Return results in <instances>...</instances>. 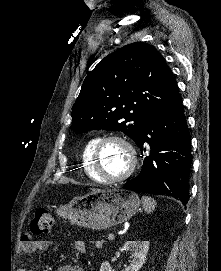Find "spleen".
Masks as SVG:
<instances>
[{
    "label": "spleen",
    "instance_id": "spleen-1",
    "mask_svg": "<svg viewBox=\"0 0 221 271\" xmlns=\"http://www.w3.org/2000/svg\"><path fill=\"white\" fill-rule=\"evenodd\" d=\"M143 207L147 213H150V211H153L156 201L155 199H152V197H143Z\"/></svg>",
    "mask_w": 221,
    "mask_h": 271
}]
</instances>
